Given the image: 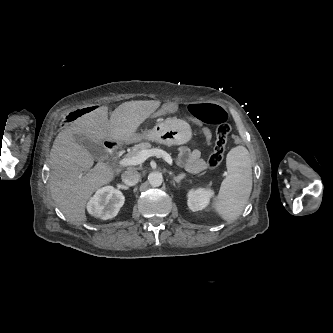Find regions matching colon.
<instances>
[{
  "instance_id": "1",
  "label": "colon",
  "mask_w": 333,
  "mask_h": 333,
  "mask_svg": "<svg viewBox=\"0 0 333 333\" xmlns=\"http://www.w3.org/2000/svg\"><path fill=\"white\" fill-rule=\"evenodd\" d=\"M97 109L94 105H87L81 109L72 112L67 116V121L71 122L76 118L88 114L89 112H95ZM191 114L206 124L218 125L216 132V141L214 144L213 152L211 153L208 164L211 169L218 167L223 160L226 142L230 135L232 128L228 123L227 113L216 104L202 103L195 104L190 107ZM240 128L234 127L232 133V144L235 147L243 146V138L239 135Z\"/></svg>"
}]
</instances>
